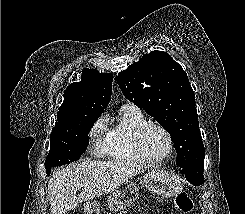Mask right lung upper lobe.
Returning a JSON list of instances; mask_svg holds the SVG:
<instances>
[{
    "instance_id": "right-lung-upper-lobe-1",
    "label": "right lung upper lobe",
    "mask_w": 245,
    "mask_h": 214,
    "mask_svg": "<svg viewBox=\"0 0 245 214\" xmlns=\"http://www.w3.org/2000/svg\"><path fill=\"white\" fill-rule=\"evenodd\" d=\"M112 74L84 69L80 82L70 84L64 92L63 104L51 134L69 128L81 115L102 113L110 102Z\"/></svg>"
}]
</instances>
